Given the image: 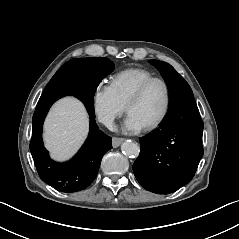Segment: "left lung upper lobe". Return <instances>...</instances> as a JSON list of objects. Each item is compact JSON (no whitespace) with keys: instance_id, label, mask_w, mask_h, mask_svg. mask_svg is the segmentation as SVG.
<instances>
[{"instance_id":"left-lung-upper-lobe-1","label":"left lung upper lobe","mask_w":239,"mask_h":239,"mask_svg":"<svg viewBox=\"0 0 239 239\" xmlns=\"http://www.w3.org/2000/svg\"><path fill=\"white\" fill-rule=\"evenodd\" d=\"M160 71L170 91V105L182 98L193 96L192 90L185 79L168 63L150 60Z\"/></svg>"}]
</instances>
